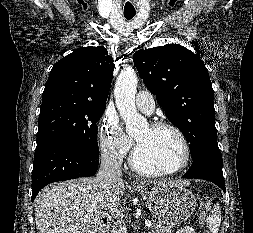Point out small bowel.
<instances>
[{"instance_id":"obj_1","label":"small bowel","mask_w":253,"mask_h":233,"mask_svg":"<svg viewBox=\"0 0 253 233\" xmlns=\"http://www.w3.org/2000/svg\"><path fill=\"white\" fill-rule=\"evenodd\" d=\"M177 233H195L194 229L189 227V226H185V227H182L181 229H179L177 231Z\"/></svg>"}]
</instances>
